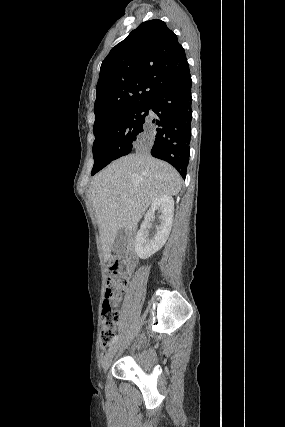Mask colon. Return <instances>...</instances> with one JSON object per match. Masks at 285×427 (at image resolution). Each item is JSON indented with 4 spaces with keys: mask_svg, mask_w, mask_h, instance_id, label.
<instances>
[{
    "mask_svg": "<svg viewBox=\"0 0 285 427\" xmlns=\"http://www.w3.org/2000/svg\"><path fill=\"white\" fill-rule=\"evenodd\" d=\"M132 268L131 260L125 257L115 258L110 266L102 307L101 340L103 344L111 342L115 335L120 319L118 306L122 301Z\"/></svg>",
    "mask_w": 285,
    "mask_h": 427,
    "instance_id": "obj_1",
    "label": "colon"
}]
</instances>
